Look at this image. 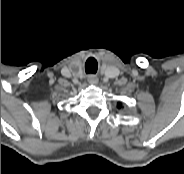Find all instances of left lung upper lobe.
Masks as SVG:
<instances>
[{"mask_svg":"<svg viewBox=\"0 0 184 174\" xmlns=\"http://www.w3.org/2000/svg\"><path fill=\"white\" fill-rule=\"evenodd\" d=\"M117 107H118L119 109H121V108H122V103L119 102V103L117 104Z\"/></svg>","mask_w":184,"mask_h":174,"instance_id":"1","label":"left lung upper lobe"}]
</instances>
